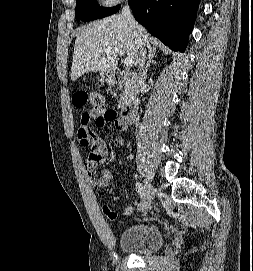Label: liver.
Masks as SVG:
<instances>
[{
	"label": "liver",
	"instance_id": "6515ba94",
	"mask_svg": "<svg viewBox=\"0 0 253 271\" xmlns=\"http://www.w3.org/2000/svg\"><path fill=\"white\" fill-rule=\"evenodd\" d=\"M137 35L129 22L120 14L112 15L93 22L79 29L76 35L71 79L74 81L86 72L111 73L116 69L118 58L114 53H101V49L118 48L138 65L137 57L141 44L146 52L155 53L156 49L149 43L146 30Z\"/></svg>",
	"mask_w": 253,
	"mask_h": 271
}]
</instances>
